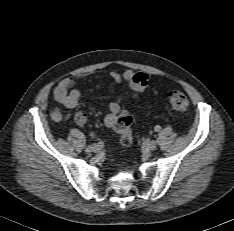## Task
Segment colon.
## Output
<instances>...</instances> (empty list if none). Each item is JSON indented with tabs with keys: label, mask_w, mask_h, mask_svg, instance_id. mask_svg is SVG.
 Segmentation results:
<instances>
[{
	"label": "colon",
	"mask_w": 234,
	"mask_h": 231,
	"mask_svg": "<svg viewBox=\"0 0 234 231\" xmlns=\"http://www.w3.org/2000/svg\"><path fill=\"white\" fill-rule=\"evenodd\" d=\"M148 84V76L144 73H137L130 79V86L134 95L140 94ZM168 99L171 107L179 112H186L189 101L187 96L179 91L172 90L168 93ZM132 117L127 111H122L114 125L116 131L121 135V143L128 147L132 143Z\"/></svg>",
	"instance_id": "5ec220e1"
}]
</instances>
